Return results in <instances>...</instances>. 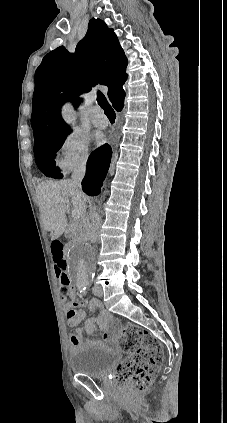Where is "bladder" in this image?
<instances>
[{
	"mask_svg": "<svg viewBox=\"0 0 227 423\" xmlns=\"http://www.w3.org/2000/svg\"><path fill=\"white\" fill-rule=\"evenodd\" d=\"M118 361L116 352L104 350L99 345L85 346L70 359L71 370L92 379H104Z\"/></svg>",
	"mask_w": 227,
	"mask_h": 423,
	"instance_id": "obj_1",
	"label": "bladder"
}]
</instances>
